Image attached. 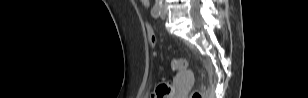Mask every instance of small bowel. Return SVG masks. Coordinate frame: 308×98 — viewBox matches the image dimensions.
Masks as SVG:
<instances>
[{
	"instance_id": "1",
	"label": "small bowel",
	"mask_w": 308,
	"mask_h": 98,
	"mask_svg": "<svg viewBox=\"0 0 308 98\" xmlns=\"http://www.w3.org/2000/svg\"><path fill=\"white\" fill-rule=\"evenodd\" d=\"M142 3L144 6L148 7L149 6V0H142Z\"/></svg>"
}]
</instances>
